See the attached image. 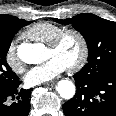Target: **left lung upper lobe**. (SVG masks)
<instances>
[{"mask_svg":"<svg viewBox=\"0 0 116 116\" xmlns=\"http://www.w3.org/2000/svg\"><path fill=\"white\" fill-rule=\"evenodd\" d=\"M55 21L71 24L86 40L88 63L79 71L81 75L91 78L116 73V22L90 13Z\"/></svg>","mask_w":116,"mask_h":116,"instance_id":"1","label":"left lung upper lobe"}]
</instances>
